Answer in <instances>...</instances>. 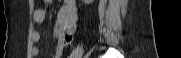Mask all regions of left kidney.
Returning <instances> with one entry per match:
<instances>
[{
    "label": "left kidney",
    "instance_id": "5707ae66",
    "mask_svg": "<svg viewBox=\"0 0 181 58\" xmlns=\"http://www.w3.org/2000/svg\"><path fill=\"white\" fill-rule=\"evenodd\" d=\"M83 2L88 5V4H91V2H93V0H83Z\"/></svg>",
    "mask_w": 181,
    "mask_h": 58
}]
</instances>
